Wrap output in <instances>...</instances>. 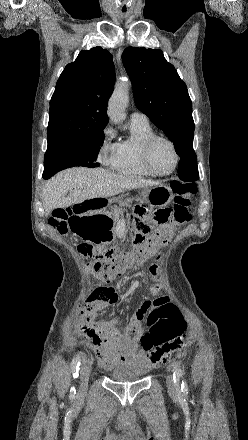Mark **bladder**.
Listing matches in <instances>:
<instances>
[{"label": "bladder", "mask_w": 248, "mask_h": 440, "mask_svg": "<svg viewBox=\"0 0 248 440\" xmlns=\"http://www.w3.org/2000/svg\"><path fill=\"white\" fill-rule=\"evenodd\" d=\"M143 372H137L125 366H119L109 372V379L118 383L135 382L143 378Z\"/></svg>", "instance_id": "1"}]
</instances>
